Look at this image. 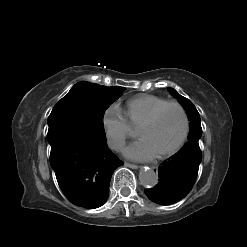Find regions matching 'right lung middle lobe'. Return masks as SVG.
Wrapping results in <instances>:
<instances>
[{"instance_id": "right-lung-middle-lobe-1", "label": "right lung middle lobe", "mask_w": 247, "mask_h": 247, "mask_svg": "<svg viewBox=\"0 0 247 247\" xmlns=\"http://www.w3.org/2000/svg\"><path fill=\"white\" fill-rule=\"evenodd\" d=\"M124 89L79 82L55 105L48 118V125L75 123L105 140L103 128L105 110L122 95Z\"/></svg>"}]
</instances>
